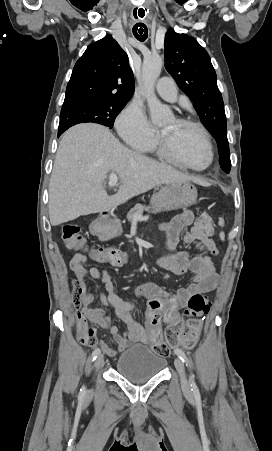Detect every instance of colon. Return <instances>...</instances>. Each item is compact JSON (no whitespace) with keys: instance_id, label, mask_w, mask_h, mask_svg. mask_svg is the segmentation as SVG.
<instances>
[{"instance_id":"obj_1","label":"colon","mask_w":272,"mask_h":451,"mask_svg":"<svg viewBox=\"0 0 272 451\" xmlns=\"http://www.w3.org/2000/svg\"><path fill=\"white\" fill-rule=\"evenodd\" d=\"M197 227L201 230L200 236L202 239H212L214 234V222L212 214L204 211L196 220ZM62 240L67 244L69 250H79L82 247L83 236L81 228L77 224H67L63 227L61 232ZM88 246V245H87ZM95 256H104L110 260L112 268H119L127 261V255L119 249H105L104 247H95L93 249ZM77 258H81L82 254L77 253ZM70 258L68 265L76 267L77 270L84 268V261L82 259ZM211 301L203 295L195 294L189 301L188 306L184 311L185 317L191 323V334L196 335L200 328V317L209 311ZM184 328L180 324H176L168 331L167 339H146V348H153L156 355L166 357L170 353V347H195L197 341L195 338H177ZM96 328L89 326L81 335L83 344L88 347L96 346L95 342ZM169 345V346H168Z\"/></svg>"}]
</instances>
